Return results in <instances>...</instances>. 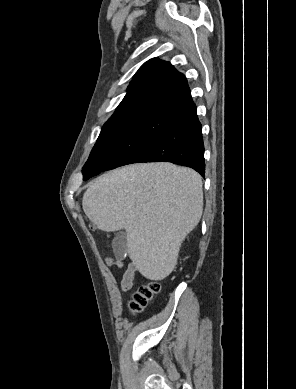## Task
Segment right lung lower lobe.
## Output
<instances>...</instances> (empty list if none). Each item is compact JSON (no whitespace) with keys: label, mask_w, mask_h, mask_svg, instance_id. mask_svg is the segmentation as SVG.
<instances>
[{"label":"right lung lower lobe","mask_w":296,"mask_h":389,"mask_svg":"<svg viewBox=\"0 0 296 389\" xmlns=\"http://www.w3.org/2000/svg\"><path fill=\"white\" fill-rule=\"evenodd\" d=\"M171 162L187 166L205 174L202 125L196 111L180 118L151 147L148 156L141 162ZM96 170L83 168L84 180L99 174Z\"/></svg>","instance_id":"obj_1"}]
</instances>
